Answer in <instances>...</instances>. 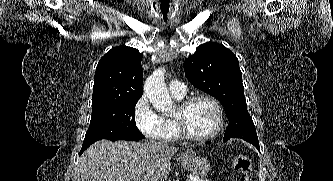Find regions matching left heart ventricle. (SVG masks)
<instances>
[{
  "mask_svg": "<svg viewBox=\"0 0 333 181\" xmlns=\"http://www.w3.org/2000/svg\"><path fill=\"white\" fill-rule=\"evenodd\" d=\"M174 117H180L188 131L202 136L212 132L217 124V115L213 105L206 100H198L185 111L176 108Z\"/></svg>",
  "mask_w": 333,
  "mask_h": 181,
  "instance_id": "b2bd125f",
  "label": "left heart ventricle"
}]
</instances>
